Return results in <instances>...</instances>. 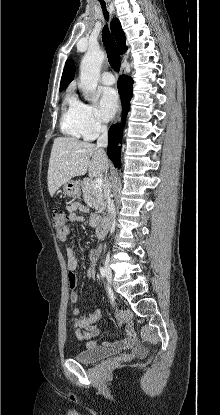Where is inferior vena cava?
<instances>
[{
  "label": "inferior vena cava",
  "instance_id": "1",
  "mask_svg": "<svg viewBox=\"0 0 220 415\" xmlns=\"http://www.w3.org/2000/svg\"><path fill=\"white\" fill-rule=\"evenodd\" d=\"M108 144V133H107V126L102 125L101 127V135L97 139V147H107ZM114 204L113 201L109 198L108 199V216L104 220L105 224L110 228V233L114 231Z\"/></svg>",
  "mask_w": 220,
  "mask_h": 415
}]
</instances>
